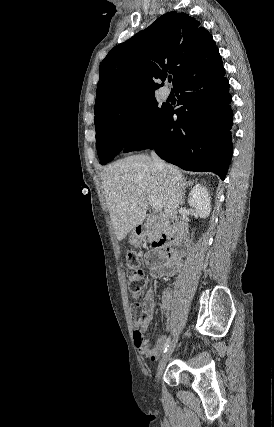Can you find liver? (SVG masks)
Masks as SVG:
<instances>
[{
  "instance_id": "liver-1",
  "label": "liver",
  "mask_w": 274,
  "mask_h": 427,
  "mask_svg": "<svg viewBox=\"0 0 274 427\" xmlns=\"http://www.w3.org/2000/svg\"><path fill=\"white\" fill-rule=\"evenodd\" d=\"M105 200L116 237L125 235L143 223L149 202L162 200L166 217L175 219L185 190V178L180 170L165 164L156 168L152 158L138 154L110 164L101 174Z\"/></svg>"
}]
</instances>
